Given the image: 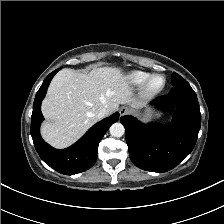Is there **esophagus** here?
<instances>
[{
	"mask_svg": "<svg viewBox=\"0 0 224 224\" xmlns=\"http://www.w3.org/2000/svg\"><path fill=\"white\" fill-rule=\"evenodd\" d=\"M128 113H129V109H128V107L123 106V107H121L120 110H119V114H120V116H124V115H126V114H128Z\"/></svg>",
	"mask_w": 224,
	"mask_h": 224,
	"instance_id": "obj_1",
	"label": "esophagus"
}]
</instances>
